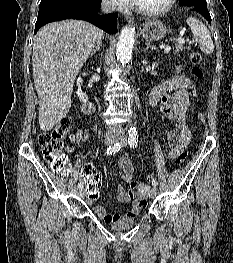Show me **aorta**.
I'll return each instance as SVG.
<instances>
[{
    "label": "aorta",
    "instance_id": "1",
    "mask_svg": "<svg viewBox=\"0 0 233 263\" xmlns=\"http://www.w3.org/2000/svg\"><path fill=\"white\" fill-rule=\"evenodd\" d=\"M135 42V28L126 26L121 30L116 47V56L119 62L127 64L132 57L133 46Z\"/></svg>",
    "mask_w": 233,
    "mask_h": 263
}]
</instances>
